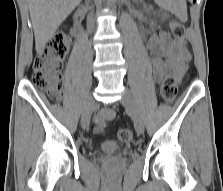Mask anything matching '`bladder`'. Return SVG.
<instances>
[{
  "instance_id": "1",
  "label": "bladder",
  "mask_w": 223,
  "mask_h": 191,
  "mask_svg": "<svg viewBox=\"0 0 223 191\" xmlns=\"http://www.w3.org/2000/svg\"><path fill=\"white\" fill-rule=\"evenodd\" d=\"M120 150V145L116 143L115 141H105L101 145V151L104 154H114Z\"/></svg>"
}]
</instances>
